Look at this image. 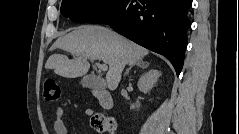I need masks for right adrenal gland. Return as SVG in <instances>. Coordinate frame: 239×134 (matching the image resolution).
<instances>
[{"mask_svg": "<svg viewBox=\"0 0 239 134\" xmlns=\"http://www.w3.org/2000/svg\"><path fill=\"white\" fill-rule=\"evenodd\" d=\"M134 65L143 67V66H144V62H143V61H139V62H137V63H135V64H130L129 68H128V69L126 70V72H125V75H127V74L129 73V70H131V68H132ZM147 66H148V64L145 65V67H147ZM125 75H124V76H125Z\"/></svg>", "mask_w": 239, "mask_h": 134, "instance_id": "right-adrenal-gland-1", "label": "right adrenal gland"}]
</instances>
